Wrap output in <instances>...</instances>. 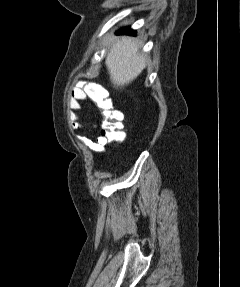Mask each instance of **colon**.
<instances>
[{"mask_svg": "<svg viewBox=\"0 0 240 287\" xmlns=\"http://www.w3.org/2000/svg\"><path fill=\"white\" fill-rule=\"evenodd\" d=\"M90 96L102 111L104 119L101 124V136L107 142H122L125 138L121 111L116 109L112 100L105 97L99 90L91 89Z\"/></svg>", "mask_w": 240, "mask_h": 287, "instance_id": "1", "label": "colon"}]
</instances>
